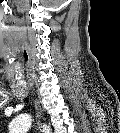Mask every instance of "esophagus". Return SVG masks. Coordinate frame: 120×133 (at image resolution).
Listing matches in <instances>:
<instances>
[{"label": "esophagus", "mask_w": 120, "mask_h": 133, "mask_svg": "<svg viewBox=\"0 0 120 133\" xmlns=\"http://www.w3.org/2000/svg\"><path fill=\"white\" fill-rule=\"evenodd\" d=\"M36 106H38V105H37V102H36ZM39 116H40V114H39V112H38L37 117H39ZM38 124H39V122H38Z\"/></svg>", "instance_id": "obj_1"}]
</instances>
